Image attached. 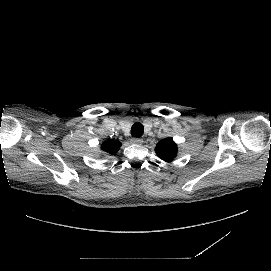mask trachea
Returning a JSON list of instances; mask_svg holds the SVG:
<instances>
[{"label": "trachea", "mask_w": 271, "mask_h": 271, "mask_svg": "<svg viewBox=\"0 0 271 271\" xmlns=\"http://www.w3.org/2000/svg\"><path fill=\"white\" fill-rule=\"evenodd\" d=\"M144 132V127L141 123L136 122L135 124H133V126L131 127V135L133 137H141L143 135Z\"/></svg>", "instance_id": "3493384b"}]
</instances>
